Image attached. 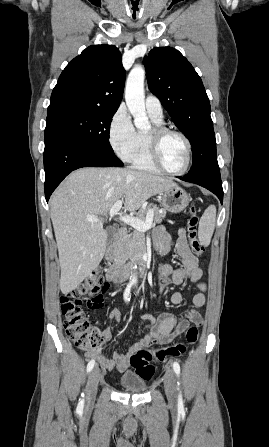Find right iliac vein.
<instances>
[{"instance_id": "obj_1", "label": "right iliac vein", "mask_w": 269, "mask_h": 447, "mask_svg": "<svg viewBox=\"0 0 269 447\" xmlns=\"http://www.w3.org/2000/svg\"><path fill=\"white\" fill-rule=\"evenodd\" d=\"M99 379L100 371L98 367H95L89 374L86 386L85 399L88 406L95 401Z\"/></svg>"}]
</instances>
